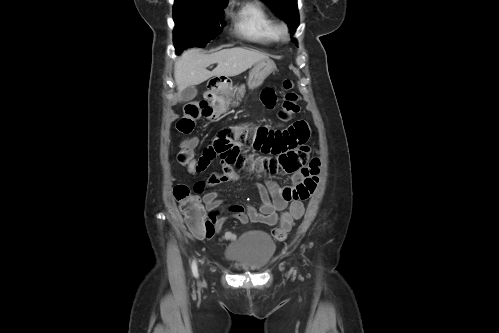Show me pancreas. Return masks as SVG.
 I'll return each mask as SVG.
<instances>
[{
	"mask_svg": "<svg viewBox=\"0 0 499 333\" xmlns=\"http://www.w3.org/2000/svg\"><path fill=\"white\" fill-rule=\"evenodd\" d=\"M245 94V85H241L235 89V91H231L226 94L225 97L221 98V110L223 112L227 111L232 105L233 107L238 106L239 101Z\"/></svg>",
	"mask_w": 499,
	"mask_h": 333,
	"instance_id": "1",
	"label": "pancreas"
}]
</instances>
